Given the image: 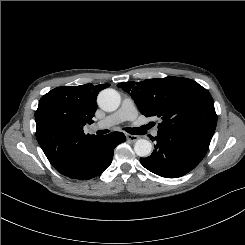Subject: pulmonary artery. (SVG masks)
<instances>
[{
  "mask_svg": "<svg viewBox=\"0 0 245 245\" xmlns=\"http://www.w3.org/2000/svg\"><path fill=\"white\" fill-rule=\"evenodd\" d=\"M137 117V111L133 101L130 98H125L121 107L113 114L107 116L103 120L97 122V128H106L126 120H134ZM154 135H157V130H154Z\"/></svg>",
  "mask_w": 245,
  "mask_h": 245,
  "instance_id": "pulmonary-artery-1",
  "label": "pulmonary artery"
}]
</instances>
